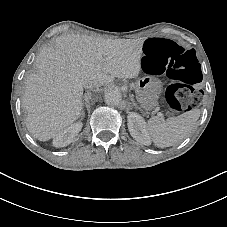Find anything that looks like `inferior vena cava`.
I'll use <instances>...</instances> for the list:
<instances>
[{
    "label": "inferior vena cava",
    "mask_w": 227,
    "mask_h": 227,
    "mask_svg": "<svg viewBox=\"0 0 227 227\" xmlns=\"http://www.w3.org/2000/svg\"><path fill=\"white\" fill-rule=\"evenodd\" d=\"M93 86H94V84L91 82L87 85V88H91ZM95 86H100V83H97Z\"/></svg>",
    "instance_id": "1"
}]
</instances>
